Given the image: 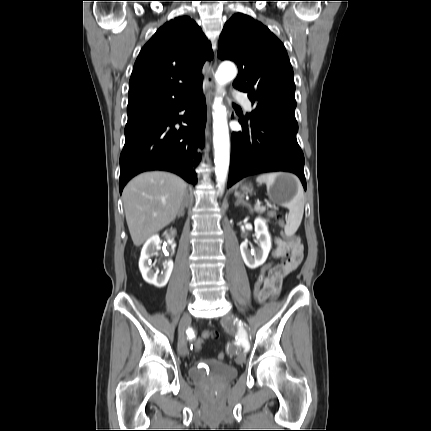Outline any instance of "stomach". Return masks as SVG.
I'll return each mask as SVG.
<instances>
[{"label":"stomach","instance_id":"stomach-1","mask_svg":"<svg viewBox=\"0 0 431 431\" xmlns=\"http://www.w3.org/2000/svg\"><path fill=\"white\" fill-rule=\"evenodd\" d=\"M299 182L295 176L287 173H281L275 182L268 186V195L270 200L278 205H287L297 194ZM245 194L251 192L249 186H243Z\"/></svg>","mask_w":431,"mask_h":431}]
</instances>
